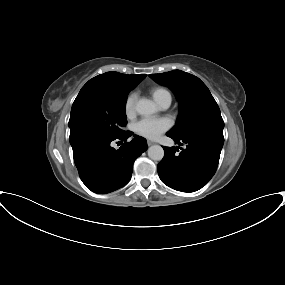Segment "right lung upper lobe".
I'll list each match as a JSON object with an SVG mask.
<instances>
[{"label": "right lung upper lobe", "mask_w": 285, "mask_h": 285, "mask_svg": "<svg viewBox=\"0 0 285 285\" xmlns=\"http://www.w3.org/2000/svg\"><path fill=\"white\" fill-rule=\"evenodd\" d=\"M146 75H127L118 72H107L89 80L80 90H100L111 92H128L134 89Z\"/></svg>", "instance_id": "obj_1"}]
</instances>
